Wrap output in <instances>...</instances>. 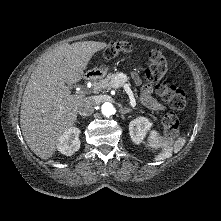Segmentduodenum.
I'll list each match as a JSON object with an SVG mask.
<instances>
[{"label":"duodenum","instance_id":"1","mask_svg":"<svg viewBox=\"0 0 221 221\" xmlns=\"http://www.w3.org/2000/svg\"><path fill=\"white\" fill-rule=\"evenodd\" d=\"M98 77H99V73L98 72H90V73H87L85 75L84 81L85 82H91V81L95 80Z\"/></svg>","mask_w":221,"mask_h":221}]
</instances>
